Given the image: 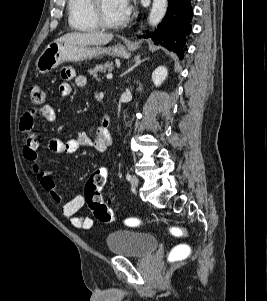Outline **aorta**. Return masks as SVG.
Segmentation results:
<instances>
[{
	"instance_id": "762f6f07",
	"label": "aorta",
	"mask_w": 267,
	"mask_h": 301,
	"mask_svg": "<svg viewBox=\"0 0 267 301\" xmlns=\"http://www.w3.org/2000/svg\"><path fill=\"white\" fill-rule=\"evenodd\" d=\"M167 0H153L152 8L149 15V24L157 25L164 18L167 11Z\"/></svg>"
}]
</instances>
